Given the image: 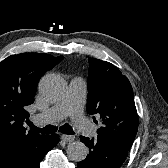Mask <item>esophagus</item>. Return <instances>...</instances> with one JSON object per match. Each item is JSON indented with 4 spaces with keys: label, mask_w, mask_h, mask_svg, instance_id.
I'll use <instances>...</instances> for the list:
<instances>
[{
    "label": "esophagus",
    "mask_w": 168,
    "mask_h": 168,
    "mask_svg": "<svg viewBox=\"0 0 168 168\" xmlns=\"http://www.w3.org/2000/svg\"><path fill=\"white\" fill-rule=\"evenodd\" d=\"M61 139L65 142H73L75 140V136L74 135H61Z\"/></svg>",
    "instance_id": "1"
}]
</instances>
